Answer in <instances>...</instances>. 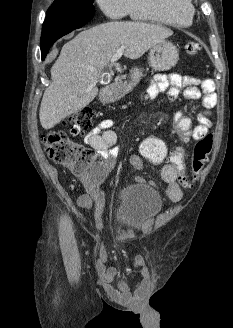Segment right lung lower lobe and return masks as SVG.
<instances>
[{
	"mask_svg": "<svg viewBox=\"0 0 233 328\" xmlns=\"http://www.w3.org/2000/svg\"><path fill=\"white\" fill-rule=\"evenodd\" d=\"M94 14L65 15L50 14L47 15L42 27L41 54L42 60L47 55L51 45L60 37L71 31L85 25Z\"/></svg>",
	"mask_w": 233,
	"mask_h": 328,
	"instance_id": "1",
	"label": "right lung lower lobe"
}]
</instances>
